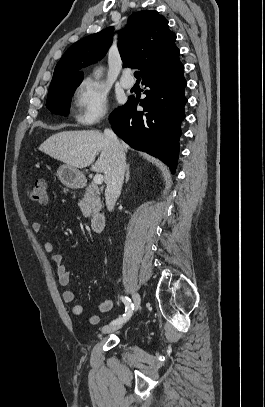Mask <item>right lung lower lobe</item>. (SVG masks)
Listing matches in <instances>:
<instances>
[{
	"mask_svg": "<svg viewBox=\"0 0 265 407\" xmlns=\"http://www.w3.org/2000/svg\"><path fill=\"white\" fill-rule=\"evenodd\" d=\"M184 66L179 52L162 62L143 77L148 87L140 100L143 111H137L138 100L127 103L110 115L113 131L134 149L147 152L166 163L175 173L179 153L181 122L187 102L183 76Z\"/></svg>",
	"mask_w": 265,
	"mask_h": 407,
	"instance_id": "98d812e1",
	"label": "right lung lower lobe"
}]
</instances>
